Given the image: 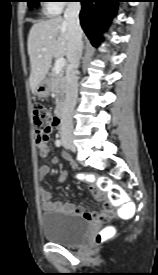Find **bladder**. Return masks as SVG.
Masks as SVG:
<instances>
[{
    "label": "bladder",
    "instance_id": "1",
    "mask_svg": "<svg viewBox=\"0 0 158 275\" xmlns=\"http://www.w3.org/2000/svg\"><path fill=\"white\" fill-rule=\"evenodd\" d=\"M41 228L48 241L73 246L85 238L90 221L77 214L51 210L42 215Z\"/></svg>",
    "mask_w": 158,
    "mask_h": 275
}]
</instances>
